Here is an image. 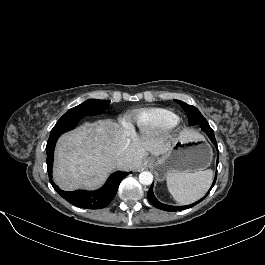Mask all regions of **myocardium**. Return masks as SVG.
I'll return each instance as SVG.
<instances>
[{
	"mask_svg": "<svg viewBox=\"0 0 265 265\" xmlns=\"http://www.w3.org/2000/svg\"><path fill=\"white\" fill-rule=\"evenodd\" d=\"M180 125L181 124H180V121L178 119L171 125V127L169 129H178L180 127Z\"/></svg>",
	"mask_w": 265,
	"mask_h": 265,
	"instance_id": "1",
	"label": "myocardium"
}]
</instances>
